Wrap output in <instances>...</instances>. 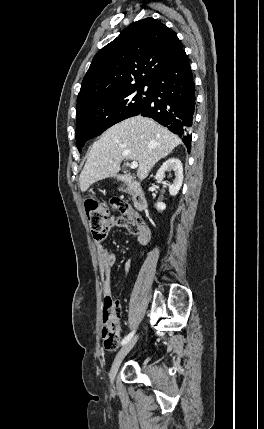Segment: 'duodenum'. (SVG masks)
<instances>
[{
  "mask_svg": "<svg viewBox=\"0 0 264 429\" xmlns=\"http://www.w3.org/2000/svg\"><path fill=\"white\" fill-rule=\"evenodd\" d=\"M116 179L125 183L129 187L136 211H144L147 208V199L139 184L131 176L128 175L118 174L116 176Z\"/></svg>",
  "mask_w": 264,
  "mask_h": 429,
  "instance_id": "duodenum-1",
  "label": "duodenum"
}]
</instances>
